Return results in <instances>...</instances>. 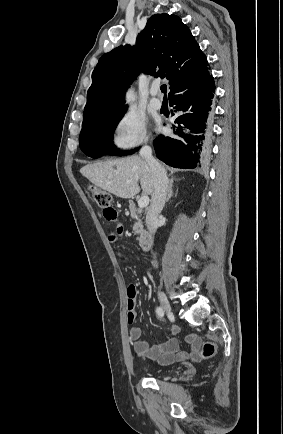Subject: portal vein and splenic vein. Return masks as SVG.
Listing matches in <instances>:
<instances>
[{
  "label": "portal vein and splenic vein",
  "mask_w": 283,
  "mask_h": 434,
  "mask_svg": "<svg viewBox=\"0 0 283 434\" xmlns=\"http://www.w3.org/2000/svg\"><path fill=\"white\" fill-rule=\"evenodd\" d=\"M149 204V197L148 196H142L139 200H138V206L139 208H145L147 207Z\"/></svg>",
  "instance_id": "1"
}]
</instances>
